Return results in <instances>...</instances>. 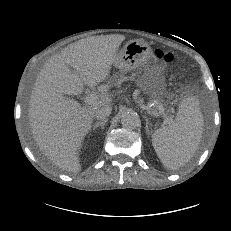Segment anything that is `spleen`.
<instances>
[{"label": "spleen", "mask_w": 231, "mask_h": 231, "mask_svg": "<svg viewBox=\"0 0 231 231\" xmlns=\"http://www.w3.org/2000/svg\"><path fill=\"white\" fill-rule=\"evenodd\" d=\"M203 125L198 101L192 96L184 98L176 118L152 134V145L166 168L179 169L191 160L199 147Z\"/></svg>", "instance_id": "spleen-1"}]
</instances>
